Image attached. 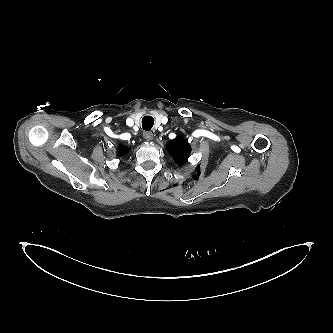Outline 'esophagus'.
<instances>
[{"label": "esophagus", "mask_w": 333, "mask_h": 333, "mask_svg": "<svg viewBox=\"0 0 333 333\" xmlns=\"http://www.w3.org/2000/svg\"><path fill=\"white\" fill-rule=\"evenodd\" d=\"M143 137L148 141L153 140L154 138L153 133L149 131L144 132Z\"/></svg>", "instance_id": "1"}]
</instances>
